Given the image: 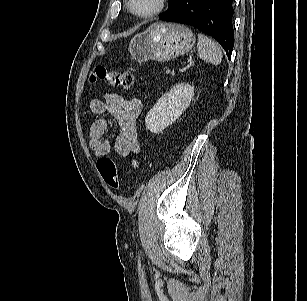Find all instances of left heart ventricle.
Here are the masks:
<instances>
[{"mask_svg": "<svg viewBox=\"0 0 307 301\" xmlns=\"http://www.w3.org/2000/svg\"><path fill=\"white\" fill-rule=\"evenodd\" d=\"M158 4V0H133V8L139 13H148Z\"/></svg>", "mask_w": 307, "mask_h": 301, "instance_id": "obj_1", "label": "left heart ventricle"}]
</instances>
